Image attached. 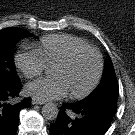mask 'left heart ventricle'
<instances>
[{
    "label": "left heart ventricle",
    "instance_id": "1",
    "mask_svg": "<svg viewBox=\"0 0 135 135\" xmlns=\"http://www.w3.org/2000/svg\"><path fill=\"white\" fill-rule=\"evenodd\" d=\"M97 70V58L92 52L79 54L69 65L53 67L52 77L60 78L69 92L80 93L92 82Z\"/></svg>",
    "mask_w": 135,
    "mask_h": 135
}]
</instances>
